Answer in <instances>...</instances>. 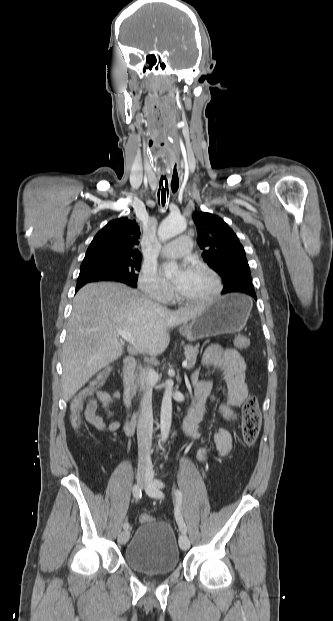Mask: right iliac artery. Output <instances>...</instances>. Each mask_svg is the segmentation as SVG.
<instances>
[{
    "label": "right iliac artery",
    "mask_w": 333,
    "mask_h": 621,
    "mask_svg": "<svg viewBox=\"0 0 333 621\" xmlns=\"http://www.w3.org/2000/svg\"><path fill=\"white\" fill-rule=\"evenodd\" d=\"M165 184V183H164ZM133 496L135 497L136 500H139L142 497V492H141V488L138 485H134L133 487ZM123 528L125 530H127L129 528V523L125 522L123 524Z\"/></svg>",
    "instance_id": "right-iliac-artery-1"
}]
</instances>
